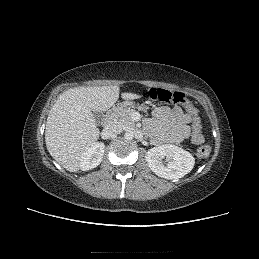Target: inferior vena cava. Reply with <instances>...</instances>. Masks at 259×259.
<instances>
[{
	"label": "inferior vena cava",
	"instance_id": "obj_1",
	"mask_svg": "<svg viewBox=\"0 0 259 259\" xmlns=\"http://www.w3.org/2000/svg\"><path fill=\"white\" fill-rule=\"evenodd\" d=\"M103 132L106 136L113 137V136H116V135H118L122 132V127H121L120 124H118L116 122H112V123L107 124L104 127Z\"/></svg>",
	"mask_w": 259,
	"mask_h": 259
}]
</instances>
